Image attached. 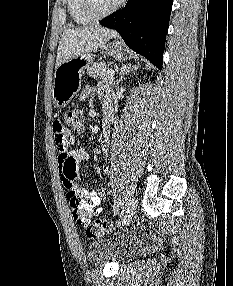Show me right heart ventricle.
I'll return each mask as SVG.
<instances>
[{"label":"right heart ventricle","mask_w":233,"mask_h":286,"mask_svg":"<svg viewBox=\"0 0 233 286\" xmlns=\"http://www.w3.org/2000/svg\"><path fill=\"white\" fill-rule=\"evenodd\" d=\"M67 8L70 17L78 25H88L94 21L84 12L81 0H67Z\"/></svg>","instance_id":"e07e8e85"}]
</instances>
